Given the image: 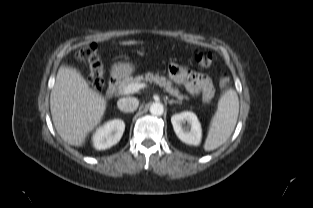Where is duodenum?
I'll use <instances>...</instances> for the list:
<instances>
[{"label":"duodenum","instance_id":"duodenum-1","mask_svg":"<svg viewBox=\"0 0 313 208\" xmlns=\"http://www.w3.org/2000/svg\"><path fill=\"white\" fill-rule=\"evenodd\" d=\"M117 82H118L117 75L116 74H112L110 79H109L108 86L106 88V94L108 96H112L115 93Z\"/></svg>","mask_w":313,"mask_h":208}]
</instances>
